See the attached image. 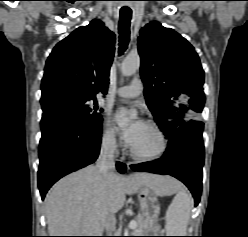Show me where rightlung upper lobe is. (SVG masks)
I'll return each mask as SVG.
<instances>
[{"label": "right lung upper lobe", "instance_id": "1", "mask_svg": "<svg viewBox=\"0 0 248 237\" xmlns=\"http://www.w3.org/2000/svg\"><path fill=\"white\" fill-rule=\"evenodd\" d=\"M115 35L99 20L60 41L45 65L41 103L61 96L94 98L106 94Z\"/></svg>", "mask_w": 248, "mask_h": 237}]
</instances>
